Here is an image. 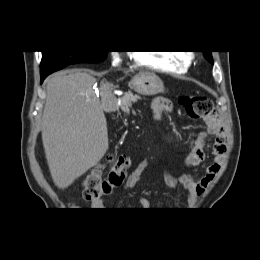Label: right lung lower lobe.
<instances>
[{
    "instance_id": "right-lung-lower-lobe-1",
    "label": "right lung lower lobe",
    "mask_w": 260,
    "mask_h": 260,
    "mask_svg": "<svg viewBox=\"0 0 260 260\" xmlns=\"http://www.w3.org/2000/svg\"><path fill=\"white\" fill-rule=\"evenodd\" d=\"M45 77H46L45 75H41V83L43 82Z\"/></svg>"
}]
</instances>
